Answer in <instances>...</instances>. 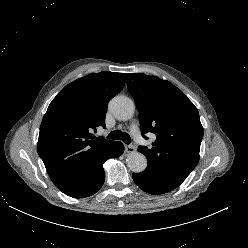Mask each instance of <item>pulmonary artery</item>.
Returning <instances> with one entry per match:
<instances>
[{"instance_id":"1","label":"pulmonary artery","mask_w":248,"mask_h":248,"mask_svg":"<svg viewBox=\"0 0 248 248\" xmlns=\"http://www.w3.org/2000/svg\"><path fill=\"white\" fill-rule=\"evenodd\" d=\"M131 132H132V135H133V137H134V139H135V141L137 143H140L141 144V143L144 142V139H143V137L141 135V132L139 130L138 125H136V124L132 125L131 126Z\"/></svg>"}]
</instances>
